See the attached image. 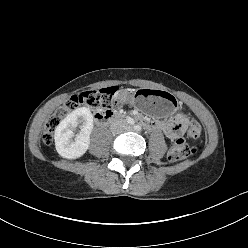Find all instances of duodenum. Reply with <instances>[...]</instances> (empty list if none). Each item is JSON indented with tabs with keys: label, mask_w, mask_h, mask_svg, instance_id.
<instances>
[{
	"label": "duodenum",
	"mask_w": 248,
	"mask_h": 248,
	"mask_svg": "<svg viewBox=\"0 0 248 248\" xmlns=\"http://www.w3.org/2000/svg\"><path fill=\"white\" fill-rule=\"evenodd\" d=\"M95 118L99 123H106L119 119V115L114 112H105L96 114Z\"/></svg>",
	"instance_id": "duodenum-1"
}]
</instances>
